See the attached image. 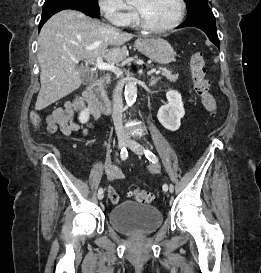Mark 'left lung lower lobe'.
<instances>
[{"instance_id": "1", "label": "left lung lower lobe", "mask_w": 261, "mask_h": 273, "mask_svg": "<svg viewBox=\"0 0 261 273\" xmlns=\"http://www.w3.org/2000/svg\"><path fill=\"white\" fill-rule=\"evenodd\" d=\"M183 27H197L203 30L210 41L219 48L220 43L217 35L215 17L208 5L200 6L192 10V12L188 14L185 22L179 25V28Z\"/></svg>"}]
</instances>
